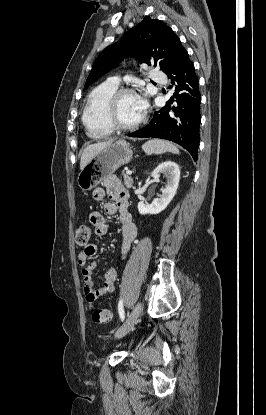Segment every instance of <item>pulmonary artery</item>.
<instances>
[{
  "label": "pulmonary artery",
  "instance_id": "e3ab8cb5",
  "mask_svg": "<svg viewBox=\"0 0 266 415\" xmlns=\"http://www.w3.org/2000/svg\"><path fill=\"white\" fill-rule=\"evenodd\" d=\"M150 78L155 81V82H159V83H164L165 82V76L158 70L156 69H152L150 71ZM108 83L113 84L115 86H118L120 83V80L118 77H110L107 80Z\"/></svg>",
  "mask_w": 266,
  "mask_h": 415
}]
</instances>
